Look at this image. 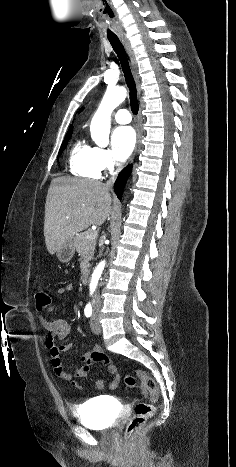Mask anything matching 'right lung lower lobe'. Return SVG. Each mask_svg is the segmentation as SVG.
<instances>
[{"instance_id": "1", "label": "right lung lower lobe", "mask_w": 236, "mask_h": 467, "mask_svg": "<svg viewBox=\"0 0 236 467\" xmlns=\"http://www.w3.org/2000/svg\"><path fill=\"white\" fill-rule=\"evenodd\" d=\"M131 167L132 166L130 165L123 169L114 184V191L119 199H121L125 183L131 173Z\"/></svg>"}]
</instances>
